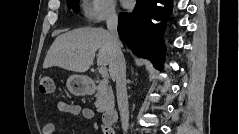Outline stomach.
<instances>
[{"label":"stomach","instance_id":"stomach-1","mask_svg":"<svg viewBox=\"0 0 239 134\" xmlns=\"http://www.w3.org/2000/svg\"><path fill=\"white\" fill-rule=\"evenodd\" d=\"M69 91L77 96H82L89 91V80L83 75H72L67 80Z\"/></svg>","mask_w":239,"mask_h":134}]
</instances>
